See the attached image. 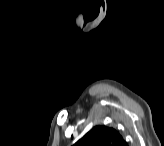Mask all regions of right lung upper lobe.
Wrapping results in <instances>:
<instances>
[{"label":"right lung upper lobe","mask_w":164,"mask_h":146,"mask_svg":"<svg viewBox=\"0 0 164 146\" xmlns=\"http://www.w3.org/2000/svg\"><path fill=\"white\" fill-rule=\"evenodd\" d=\"M76 146H127L123 137L114 129L106 126H95L85 134Z\"/></svg>","instance_id":"cb5924a9"}]
</instances>
